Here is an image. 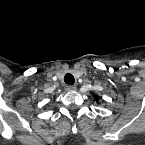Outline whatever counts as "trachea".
Returning <instances> with one entry per match:
<instances>
[{
	"instance_id": "obj_1",
	"label": "trachea",
	"mask_w": 145,
	"mask_h": 145,
	"mask_svg": "<svg viewBox=\"0 0 145 145\" xmlns=\"http://www.w3.org/2000/svg\"><path fill=\"white\" fill-rule=\"evenodd\" d=\"M64 82L70 85L74 84L75 82L74 76L70 73L66 74L64 77Z\"/></svg>"
}]
</instances>
